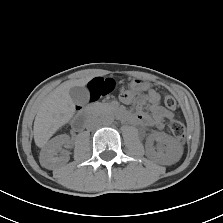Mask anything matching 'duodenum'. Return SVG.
I'll return each mask as SVG.
<instances>
[{
  "label": "duodenum",
  "instance_id": "1",
  "mask_svg": "<svg viewBox=\"0 0 223 223\" xmlns=\"http://www.w3.org/2000/svg\"><path fill=\"white\" fill-rule=\"evenodd\" d=\"M114 113L116 114V116L122 120H128V114L121 110V109H116L114 110ZM87 117H83V116H77L76 118L73 119L72 122V128L74 129H81L83 128V126L86 124L87 122Z\"/></svg>",
  "mask_w": 223,
  "mask_h": 223
}]
</instances>
